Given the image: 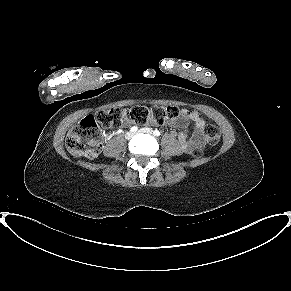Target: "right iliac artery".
Instances as JSON below:
<instances>
[{
	"mask_svg": "<svg viewBox=\"0 0 291 291\" xmlns=\"http://www.w3.org/2000/svg\"><path fill=\"white\" fill-rule=\"evenodd\" d=\"M138 130V127L137 126H133L130 128V131L131 132H136Z\"/></svg>",
	"mask_w": 291,
	"mask_h": 291,
	"instance_id": "1",
	"label": "right iliac artery"
}]
</instances>
